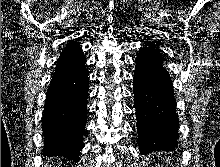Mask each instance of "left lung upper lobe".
Segmentation results:
<instances>
[{
	"instance_id": "5c2ea615",
	"label": "left lung upper lobe",
	"mask_w": 220,
	"mask_h": 167,
	"mask_svg": "<svg viewBox=\"0 0 220 167\" xmlns=\"http://www.w3.org/2000/svg\"><path fill=\"white\" fill-rule=\"evenodd\" d=\"M148 47L156 48L155 44H153V43H149V44H148Z\"/></svg>"
}]
</instances>
